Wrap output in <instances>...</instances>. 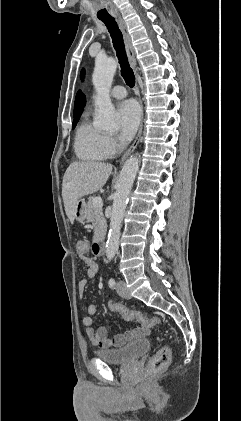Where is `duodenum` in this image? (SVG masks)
<instances>
[{
  "label": "duodenum",
  "instance_id": "1",
  "mask_svg": "<svg viewBox=\"0 0 241 421\" xmlns=\"http://www.w3.org/2000/svg\"><path fill=\"white\" fill-rule=\"evenodd\" d=\"M92 251L96 256H102L105 252V241L103 238H98L92 246Z\"/></svg>",
  "mask_w": 241,
  "mask_h": 421
}]
</instances>
